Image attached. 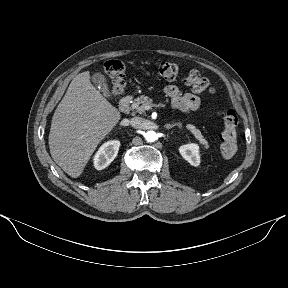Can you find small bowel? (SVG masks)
Returning a JSON list of instances; mask_svg holds the SVG:
<instances>
[{"mask_svg":"<svg viewBox=\"0 0 288 288\" xmlns=\"http://www.w3.org/2000/svg\"><path fill=\"white\" fill-rule=\"evenodd\" d=\"M164 91L171 98L173 106L184 113L194 112L201 105V100L197 95L183 92L176 85H168Z\"/></svg>","mask_w":288,"mask_h":288,"instance_id":"small-bowel-1","label":"small bowel"}]
</instances>
